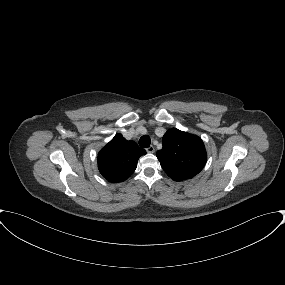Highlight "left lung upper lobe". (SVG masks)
<instances>
[{"label":"left lung upper lobe","mask_w":285,"mask_h":285,"mask_svg":"<svg viewBox=\"0 0 285 285\" xmlns=\"http://www.w3.org/2000/svg\"><path fill=\"white\" fill-rule=\"evenodd\" d=\"M162 145L156 156L166 174L175 181L191 179L205 166L204 143L196 135L169 129L163 136Z\"/></svg>","instance_id":"5c2ea615"}]
</instances>
